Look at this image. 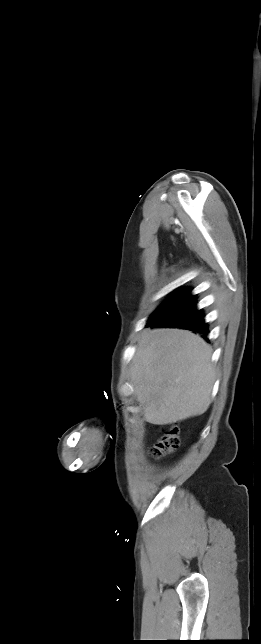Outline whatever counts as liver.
Wrapping results in <instances>:
<instances>
[{"instance_id": "obj_1", "label": "liver", "mask_w": 261, "mask_h": 644, "mask_svg": "<svg viewBox=\"0 0 261 644\" xmlns=\"http://www.w3.org/2000/svg\"><path fill=\"white\" fill-rule=\"evenodd\" d=\"M211 355V347L190 331H143L130 377L144 420L167 425L203 414L215 381Z\"/></svg>"}]
</instances>
